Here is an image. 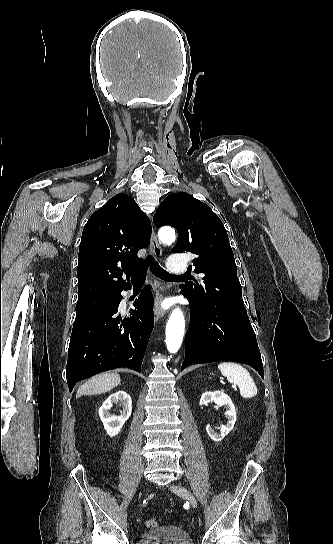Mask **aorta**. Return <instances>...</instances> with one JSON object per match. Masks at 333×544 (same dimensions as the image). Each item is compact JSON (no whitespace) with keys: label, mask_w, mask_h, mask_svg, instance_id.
Listing matches in <instances>:
<instances>
[{"label":"aorta","mask_w":333,"mask_h":544,"mask_svg":"<svg viewBox=\"0 0 333 544\" xmlns=\"http://www.w3.org/2000/svg\"><path fill=\"white\" fill-rule=\"evenodd\" d=\"M162 243L171 245L176 238L175 231L170 227H163L158 233ZM185 329V319L182 311L175 308L166 325V346L170 353H176L182 344Z\"/></svg>","instance_id":"762f6f07"}]
</instances>
